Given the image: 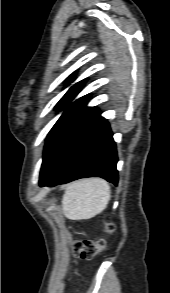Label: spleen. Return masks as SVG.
I'll return each instance as SVG.
<instances>
[{
	"mask_svg": "<svg viewBox=\"0 0 170 293\" xmlns=\"http://www.w3.org/2000/svg\"><path fill=\"white\" fill-rule=\"evenodd\" d=\"M111 198L109 184L101 178H87L71 183L62 206L69 219H89L101 213Z\"/></svg>",
	"mask_w": 170,
	"mask_h": 293,
	"instance_id": "obj_1",
	"label": "spleen"
}]
</instances>
